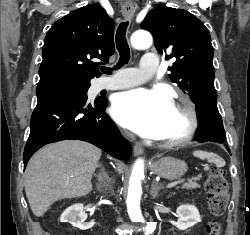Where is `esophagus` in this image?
<instances>
[{
    "mask_svg": "<svg viewBox=\"0 0 250 235\" xmlns=\"http://www.w3.org/2000/svg\"><path fill=\"white\" fill-rule=\"evenodd\" d=\"M135 10L132 4H124L122 6V15L126 21L132 20ZM133 152L135 156L141 155L143 153V146L140 143H136L133 147Z\"/></svg>",
    "mask_w": 250,
    "mask_h": 235,
    "instance_id": "obj_1",
    "label": "esophagus"
}]
</instances>
